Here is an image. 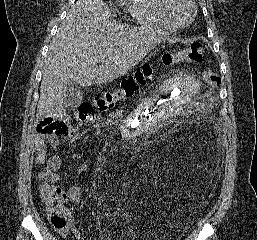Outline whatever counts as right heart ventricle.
Masks as SVG:
<instances>
[{
	"mask_svg": "<svg viewBox=\"0 0 257 240\" xmlns=\"http://www.w3.org/2000/svg\"><path fill=\"white\" fill-rule=\"evenodd\" d=\"M123 10L141 26L161 32L173 33L176 28L164 17L161 0H121Z\"/></svg>",
	"mask_w": 257,
	"mask_h": 240,
	"instance_id": "right-heart-ventricle-1",
	"label": "right heart ventricle"
}]
</instances>
